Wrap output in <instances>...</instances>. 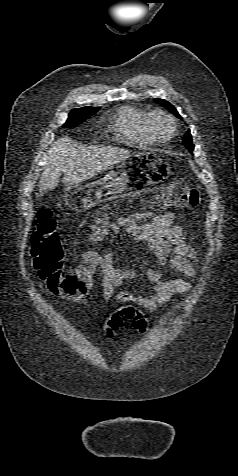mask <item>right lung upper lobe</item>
I'll list each match as a JSON object with an SVG mask.
<instances>
[{
  "label": "right lung upper lobe",
  "instance_id": "obj_1",
  "mask_svg": "<svg viewBox=\"0 0 238 476\" xmlns=\"http://www.w3.org/2000/svg\"><path fill=\"white\" fill-rule=\"evenodd\" d=\"M83 108H98V107H83Z\"/></svg>",
  "mask_w": 238,
  "mask_h": 476
}]
</instances>
